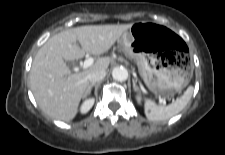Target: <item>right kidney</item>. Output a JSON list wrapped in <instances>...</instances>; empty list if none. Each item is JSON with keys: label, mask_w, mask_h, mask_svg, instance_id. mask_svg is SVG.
<instances>
[{"label": "right kidney", "mask_w": 225, "mask_h": 155, "mask_svg": "<svg viewBox=\"0 0 225 155\" xmlns=\"http://www.w3.org/2000/svg\"><path fill=\"white\" fill-rule=\"evenodd\" d=\"M93 104H94L93 98L85 100L81 106V113H87L92 108Z\"/></svg>", "instance_id": "ca27d5eb"}]
</instances>
